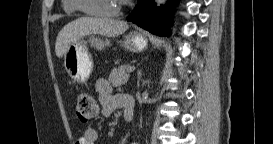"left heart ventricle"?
Here are the masks:
<instances>
[{"label":"left heart ventricle","instance_id":"b2bd125f","mask_svg":"<svg viewBox=\"0 0 273 144\" xmlns=\"http://www.w3.org/2000/svg\"><path fill=\"white\" fill-rule=\"evenodd\" d=\"M86 5L94 10H112L118 4L117 0H87Z\"/></svg>","mask_w":273,"mask_h":144}]
</instances>
